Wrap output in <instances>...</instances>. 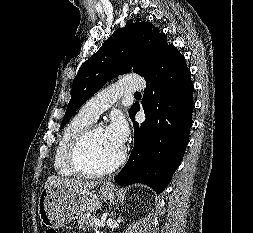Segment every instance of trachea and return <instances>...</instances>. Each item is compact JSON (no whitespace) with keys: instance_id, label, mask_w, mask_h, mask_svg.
<instances>
[{"instance_id":"3493384b","label":"trachea","mask_w":253,"mask_h":233,"mask_svg":"<svg viewBox=\"0 0 253 233\" xmlns=\"http://www.w3.org/2000/svg\"><path fill=\"white\" fill-rule=\"evenodd\" d=\"M135 94H140V92H136Z\"/></svg>"}]
</instances>
